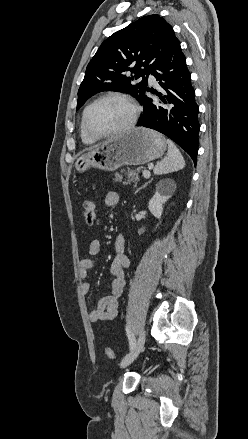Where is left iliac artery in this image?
<instances>
[{"label": "left iliac artery", "instance_id": "left-iliac-artery-1", "mask_svg": "<svg viewBox=\"0 0 248 439\" xmlns=\"http://www.w3.org/2000/svg\"><path fill=\"white\" fill-rule=\"evenodd\" d=\"M126 332H127V336L129 339V346H130V350H131L136 343L135 336L132 334V332L130 331L128 326H126Z\"/></svg>", "mask_w": 248, "mask_h": 439}]
</instances>
